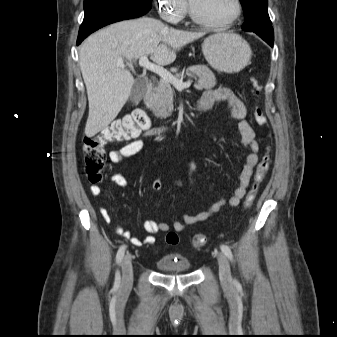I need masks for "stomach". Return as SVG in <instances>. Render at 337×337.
I'll use <instances>...</instances> for the list:
<instances>
[{
	"instance_id": "obj_1",
	"label": "stomach",
	"mask_w": 337,
	"mask_h": 337,
	"mask_svg": "<svg viewBox=\"0 0 337 337\" xmlns=\"http://www.w3.org/2000/svg\"><path fill=\"white\" fill-rule=\"evenodd\" d=\"M205 59L219 72L238 73L249 63L252 50L249 44L235 33H218L206 38L202 45Z\"/></svg>"
}]
</instances>
